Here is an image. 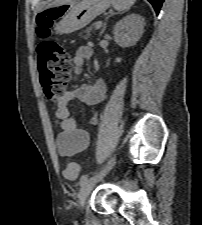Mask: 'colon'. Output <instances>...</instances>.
<instances>
[{
    "label": "colon",
    "mask_w": 202,
    "mask_h": 225,
    "mask_svg": "<svg viewBox=\"0 0 202 225\" xmlns=\"http://www.w3.org/2000/svg\"><path fill=\"white\" fill-rule=\"evenodd\" d=\"M57 10L49 9L38 12L36 16L37 35L41 38L38 44L39 78L45 97L49 102L59 101L71 79L72 63L69 54L60 43L48 38L50 28L57 19ZM80 172L76 163H69L65 169V176L75 179Z\"/></svg>",
    "instance_id": "5ec220e1"
}]
</instances>
